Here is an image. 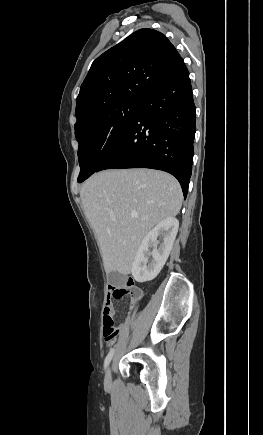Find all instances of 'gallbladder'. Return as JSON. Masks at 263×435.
<instances>
[{
    "label": "gallbladder",
    "instance_id": "gallbladder-1",
    "mask_svg": "<svg viewBox=\"0 0 263 435\" xmlns=\"http://www.w3.org/2000/svg\"><path fill=\"white\" fill-rule=\"evenodd\" d=\"M126 281V276L124 274L118 272H110L108 275V282L115 286H123Z\"/></svg>",
    "mask_w": 263,
    "mask_h": 435
}]
</instances>
